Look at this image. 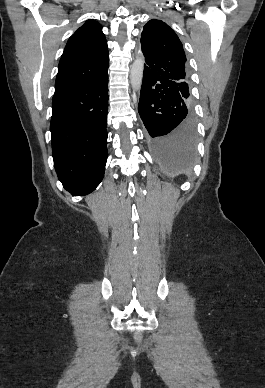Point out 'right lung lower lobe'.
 <instances>
[{
    "mask_svg": "<svg viewBox=\"0 0 265 388\" xmlns=\"http://www.w3.org/2000/svg\"><path fill=\"white\" fill-rule=\"evenodd\" d=\"M108 73L55 91L51 141L59 180L73 195H86L102 181L107 161Z\"/></svg>",
    "mask_w": 265,
    "mask_h": 388,
    "instance_id": "98d812e1",
    "label": "right lung lower lobe"
}]
</instances>
